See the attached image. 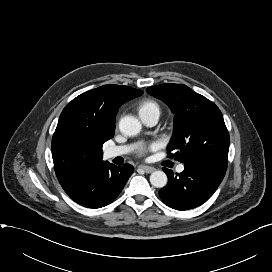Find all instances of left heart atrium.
<instances>
[{
  "label": "left heart atrium",
  "mask_w": 272,
  "mask_h": 272,
  "mask_svg": "<svg viewBox=\"0 0 272 272\" xmlns=\"http://www.w3.org/2000/svg\"><path fill=\"white\" fill-rule=\"evenodd\" d=\"M146 152V149H141L140 153L144 154Z\"/></svg>",
  "instance_id": "1"
}]
</instances>
